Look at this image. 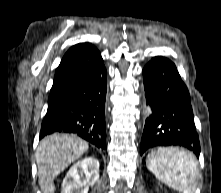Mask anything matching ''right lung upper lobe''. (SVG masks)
<instances>
[{
  "label": "right lung upper lobe",
  "instance_id": "obj_1",
  "mask_svg": "<svg viewBox=\"0 0 221 193\" xmlns=\"http://www.w3.org/2000/svg\"><path fill=\"white\" fill-rule=\"evenodd\" d=\"M101 59L100 52L90 43L71 47L56 70L48 102L62 98Z\"/></svg>",
  "mask_w": 221,
  "mask_h": 193
}]
</instances>
